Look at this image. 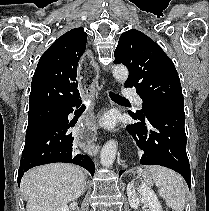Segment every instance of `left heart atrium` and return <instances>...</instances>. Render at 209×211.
<instances>
[{
	"label": "left heart atrium",
	"instance_id": "39dd6f15",
	"mask_svg": "<svg viewBox=\"0 0 209 211\" xmlns=\"http://www.w3.org/2000/svg\"><path fill=\"white\" fill-rule=\"evenodd\" d=\"M118 117L114 112H108L101 118V124L107 129H113L117 125Z\"/></svg>",
	"mask_w": 209,
	"mask_h": 211
}]
</instances>
